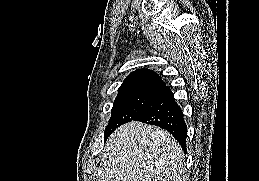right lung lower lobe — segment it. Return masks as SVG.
<instances>
[{
  "label": "right lung lower lobe",
  "instance_id": "obj_1",
  "mask_svg": "<svg viewBox=\"0 0 259 181\" xmlns=\"http://www.w3.org/2000/svg\"><path fill=\"white\" fill-rule=\"evenodd\" d=\"M133 121L164 128L174 136L186 153L187 126L183 118V112L165 83L161 85L157 95Z\"/></svg>",
  "mask_w": 259,
  "mask_h": 181
}]
</instances>
